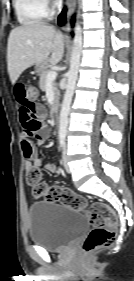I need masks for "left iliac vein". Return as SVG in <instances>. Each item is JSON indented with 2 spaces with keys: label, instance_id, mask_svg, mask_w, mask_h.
Instances as JSON below:
<instances>
[{
  "label": "left iliac vein",
  "instance_id": "4c4485c4",
  "mask_svg": "<svg viewBox=\"0 0 134 281\" xmlns=\"http://www.w3.org/2000/svg\"><path fill=\"white\" fill-rule=\"evenodd\" d=\"M62 161H63V165H64L65 170L67 172H70V168H69V165H68L67 147H66V145H64V148H63Z\"/></svg>",
  "mask_w": 134,
  "mask_h": 281
}]
</instances>
